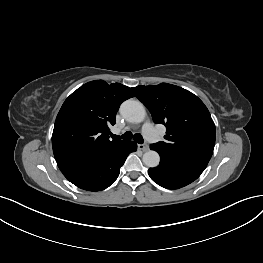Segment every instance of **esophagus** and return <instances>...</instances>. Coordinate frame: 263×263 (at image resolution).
I'll return each mask as SVG.
<instances>
[{
    "label": "esophagus",
    "instance_id": "esophagus-1",
    "mask_svg": "<svg viewBox=\"0 0 263 263\" xmlns=\"http://www.w3.org/2000/svg\"><path fill=\"white\" fill-rule=\"evenodd\" d=\"M137 147H138V150H141L143 152H146L149 150L148 146L145 144H138Z\"/></svg>",
    "mask_w": 263,
    "mask_h": 263
}]
</instances>
